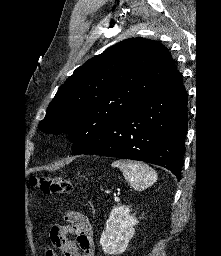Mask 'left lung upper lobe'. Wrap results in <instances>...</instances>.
Segmentation results:
<instances>
[{
  "mask_svg": "<svg viewBox=\"0 0 221 256\" xmlns=\"http://www.w3.org/2000/svg\"><path fill=\"white\" fill-rule=\"evenodd\" d=\"M177 73L159 42L123 40L74 71L50 102L39 128L68 133L76 151Z\"/></svg>",
  "mask_w": 221,
  "mask_h": 256,
  "instance_id": "5c2ea615",
  "label": "left lung upper lobe"
}]
</instances>
